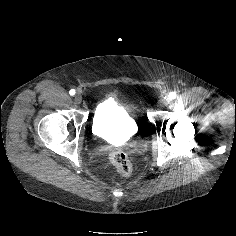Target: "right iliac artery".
<instances>
[{
	"mask_svg": "<svg viewBox=\"0 0 236 236\" xmlns=\"http://www.w3.org/2000/svg\"><path fill=\"white\" fill-rule=\"evenodd\" d=\"M69 94H70L71 96L75 95V90H74V89H71V90L69 91Z\"/></svg>",
	"mask_w": 236,
	"mask_h": 236,
	"instance_id": "obj_1",
	"label": "right iliac artery"
}]
</instances>
